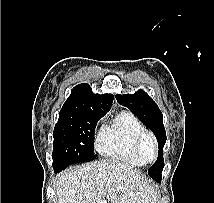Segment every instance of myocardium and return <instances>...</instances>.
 <instances>
[{
    "label": "myocardium",
    "instance_id": "f54148a6",
    "mask_svg": "<svg viewBox=\"0 0 214 203\" xmlns=\"http://www.w3.org/2000/svg\"><path fill=\"white\" fill-rule=\"evenodd\" d=\"M146 141H150L153 147L154 157L151 161H146L143 157V145ZM134 149H135V153L144 164H152L156 162V160L158 159L159 151H158L156 138L151 132L147 130L143 131L137 136L134 143Z\"/></svg>",
    "mask_w": 214,
    "mask_h": 203
}]
</instances>
